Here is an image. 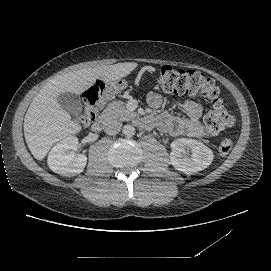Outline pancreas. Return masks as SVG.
<instances>
[{"mask_svg":"<svg viewBox=\"0 0 271 271\" xmlns=\"http://www.w3.org/2000/svg\"><path fill=\"white\" fill-rule=\"evenodd\" d=\"M105 112L109 116L120 119L121 121H128L132 116L136 115L134 112H129L126 109L125 103L122 101H113L109 103Z\"/></svg>","mask_w":271,"mask_h":271,"instance_id":"pancreas-1","label":"pancreas"}]
</instances>
